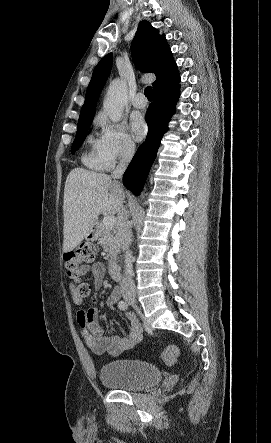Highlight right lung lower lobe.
Segmentation results:
<instances>
[{"label": "right lung lower lobe", "mask_w": 271, "mask_h": 443, "mask_svg": "<svg viewBox=\"0 0 271 443\" xmlns=\"http://www.w3.org/2000/svg\"><path fill=\"white\" fill-rule=\"evenodd\" d=\"M180 78L153 91V103L150 104L146 122L148 134L140 145L123 176L124 185L135 195L143 189L151 165L156 157L160 140L168 130L170 116L175 113V105L180 94Z\"/></svg>", "instance_id": "98d812e1"}]
</instances>
